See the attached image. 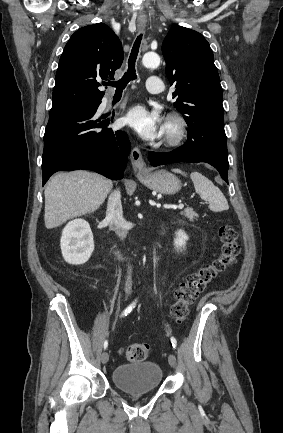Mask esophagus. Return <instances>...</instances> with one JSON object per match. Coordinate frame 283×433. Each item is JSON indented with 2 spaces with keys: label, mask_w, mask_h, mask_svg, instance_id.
<instances>
[{
  "label": "esophagus",
  "mask_w": 283,
  "mask_h": 433,
  "mask_svg": "<svg viewBox=\"0 0 283 433\" xmlns=\"http://www.w3.org/2000/svg\"><path fill=\"white\" fill-rule=\"evenodd\" d=\"M138 28L140 30H142L146 24L145 23H138ZM130 159H131V164L133 167L134 172L136 173H143V172H147V167H146V163L143 160L141 151L139 150V148L134 147L131 150V155H130Z\"/></svg>",
  "instance_id": "obj_1"
}]
</instances>
